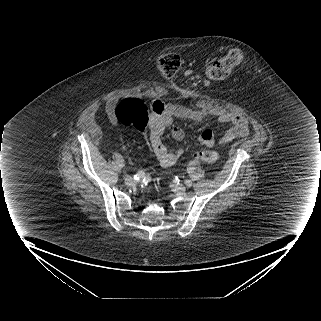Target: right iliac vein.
Returning <instances> with one entry per match:
<instances>
[{"label": "right iliac vein", "mask_w": 321, "mask_h": 321, "mask_svg": "<svg viewBox=\"0 0 321 321\" xmlns=\"http://www.w3.org/2000/svg\"><path fill=\"white\" fill-rule=\"evenodd\" d=\"M125 183L128 185V186H133L136 184V180L133 179V178H128L126 179Z\"/></svg>", "instance_id": "obj_1"}]
</instances>
